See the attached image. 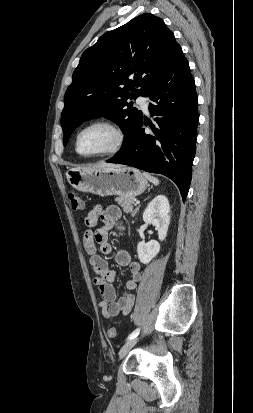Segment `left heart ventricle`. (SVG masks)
Instances as JSON below:
<instances>
[{
  "label": "left heart ventricle",
  "mask_w": 253,
  "mask_h": 413,
  "mask_svg": "<svg viewBox=\"0 0 253 413\" xmlns=\"http://www.w3.org/2000/svg\"><path fill=\"white\" fill-rule=\"evenodd\" d=\"M116 141L115 134L105 126L86 129L79 138V151L83 154H96L110 149Z\"/></svg>",
  "instance_id": "1"
}]
</instances>
